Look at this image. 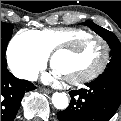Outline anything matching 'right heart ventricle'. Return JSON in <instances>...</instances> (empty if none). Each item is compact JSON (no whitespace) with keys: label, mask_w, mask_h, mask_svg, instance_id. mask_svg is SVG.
Masks as SVG:
<instances>
[{"label":"right heart ventricle","mask_w":121,"mask_h":121,"mask_svg":"<svg viewBox=\"0 0 121 121\" xmlns=\"http://www.w3.org/2000/svg\"><path fill=\"white\" fill-rule=\"evenodd\" d=\"M87 35L82 30H66L61 28L23 29L18 32V39L32 42L45 56L59 45H69Z\"/></svg>","instance_id":"right-heart-ventricle-1"}]
</instances>
